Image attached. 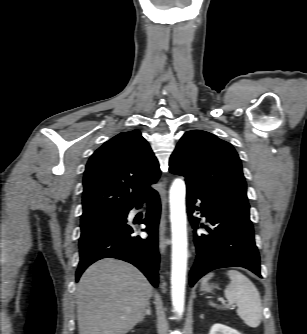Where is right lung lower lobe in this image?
I'll return each mask as SVG.
<instances>
[{
    "instance_id": "obj_1",
    "label": "right lung lower lobe",
    "mask_w": 307,
    "mask_h": 334,
    "mask_svg": "<svg viewBox=\"0 0 307 334\" xmlns=\"http://www.w3.org/2000/svg\"><path fill=\"white\" fill-rule=\"evenodd\" d=\"M146 200L149 201V209L143 223L147 225L146 230L149 237L142 239L139 236H133V227L127 225L125 221L121 226L89 241L80 247V262L76 272L77 281L89 265L102 258L113 257L135 265L145 274L151 284L157 287L160 258L157 241L160 199L158 193L152 189L135 206L139 208Z\"/></svg>"
}]
</instances>
